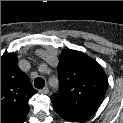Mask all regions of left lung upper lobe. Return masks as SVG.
<instances>
[{
    "mask_svg": "<svg viewBox=\"0 0 123 123\" xmlns=\"http://www.w3.org/2000/svg\"><path fill=\"white\" fill-rule=\"evenodd\" d=\"M60 93L51 97L54 110L69 122H81L100 107L108 87L102 67L76 50H65L58 65Z\"/></svg>",
    "mask_w": 123,
    "mask_h": 123,
    "instance_id": "1",
    "label": "left lung upper lobe"
}]
</instances>
